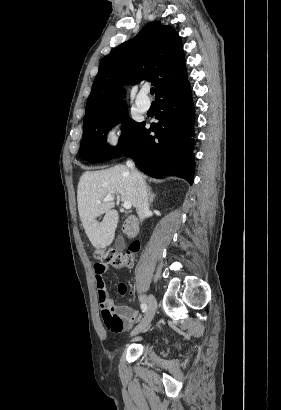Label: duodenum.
Masks as SVG:
<instances>
[{"label":"duodenum","instance_id":"410a0bca","mask_svg":"<svg viewBox=\"0 0 281 410\" xmlns=\"http://www.w3.org/2000/svg\"><path fill=\"white\" fill-rule=\"evenodd\" d=\"M136 222V218L132 215H129L127 217H125L124 219V223H123V228L125 229V231L130 235L132 228L134 226Z\"/></svg>","mask_w":281,"mask_h":410}]
</instances>
